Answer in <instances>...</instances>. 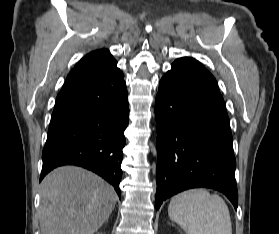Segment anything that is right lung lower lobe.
<instances>
[{
  "label": "right lung lower lobe",
  "instance_id": "obj_1",
  "mask_svg": "<svg viewBox=\"0 0 279 234\" xmlns=\"http://www.w3.org/2000/svg\"><path fill=\"white\" fill-rule=\"evenodd\" d=\"M128 122L126 83L116 65L97 78L62 88L42 153L40 181L58 166L77 165L102 176L121 197Z\"/></svg>",
  "mask_w": 279,
  "mask_h": 234
}]
</instances>
